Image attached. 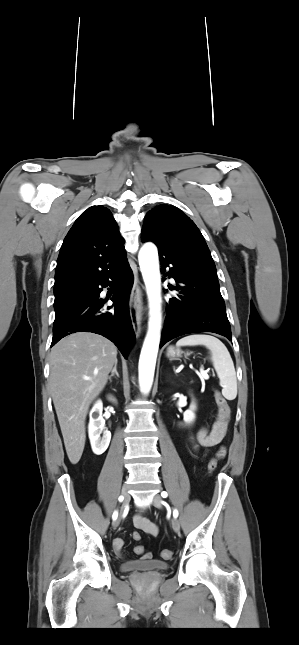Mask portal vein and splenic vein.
<instances>
[{"label": "portal vein and splenic vein", "instance_id": "18ae733b", "mask_svg": "<svg viewBox=\"0 0 299 645\" xmlns=\"http://www.w3.org/2000/svg\"><path fill=\"white\" fill-rule=\"evenodd\" d=\"M200 373H201L203 376H207V372H206V371H204L203 369H200Z\"/></svg>", "mask_w": 299, "mask_h": 645}]
</instances>
